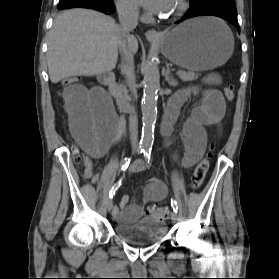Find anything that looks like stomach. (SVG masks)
I'll return each mask as SVG.
<instances>
[{"instance_id":"obj_1","label":"stomach","mask_w":279,"mask_h":279,"mask_svg":"<svg viewBox=\"0 0 279 279\" xmlns=\"http://www.w3.org/2000/svg\"><path fill=\"white\" fill-rule=\"evenodd\" d=\"M234 38L219 20L195 18L162 35L161 50L172 63L190 71L223 65L231 56Z\"/></svg>"}]
</instances>
